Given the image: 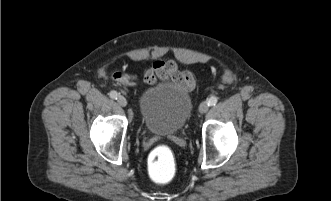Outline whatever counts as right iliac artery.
Instances as JSON below:
<instances>
[{
  "label": "right iliac artery",
  "instance_id": "1",
  "mask_svg": "<svg viewBox=\"0 0 331 201\" xmlns=\"http://www.w3.org/2000/svg\"><path fill=\"white\" fill-rule=\"evenodd\" d=\"M110 98L112 99H117L118 98V93L116 91H111L109 93Z\"/></svg>",
  "mask_w": 331,
  "mask_h": 201
}]
</instances>
